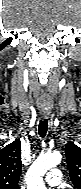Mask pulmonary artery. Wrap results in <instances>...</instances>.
Returning <instances> with one entry per match:
<instances>
[{"mask_svg":"<svg viewBox=\"0 0 81 189\" xmlns=\"http://www.w3.org/2000/svg\"><path fill=\"white\" fill-rule=\"evenodd\" d=\"M61 180L62 174L57 168L51 169L45 176V182L50 186H58Z\"/></svg>","mask_w":81,"mask_h":189,"instance_id":"obj_1","label":"pulmonary artery"}]
</instances>
